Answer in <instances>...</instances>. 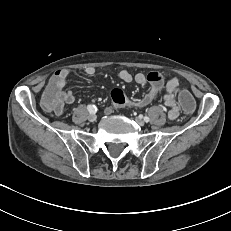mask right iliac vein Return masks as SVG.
Instances as JSON below:
<instances>
[{"instance_id":"obj_1","label":"right iliac vein","mask_w":231,"mask_h":231,"mask_svg":"<svg viewBox=\"0 0 231 231\" xmlns=\"http://www.w3.org/2000/svg\"><path fill=\"white\" fill-rule=\"evenodd\" d=\"M96 119H97V116H96L94 113H90V114L88 115V120H89L90 122H94V121H96Z\"/></svg>"}]
</instances>
